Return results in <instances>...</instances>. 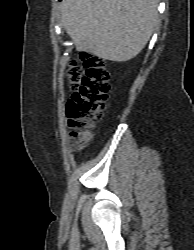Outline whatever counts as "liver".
Returning a JSON list of instances; mask_svg holds the SVG:
<instances>
[{
    "label": "liver",
    "instance_id": "liver-1",
    "mask_svg": "<svg viewBox=\"0 0 194 250\" xmlns=\"http://www.w3.org/2000/svg\"><path fill=\"white\" fill-rule=\"evenodd\" d=\"M159 0H63L62 24L78 51L125 62L147 44Z\"/></svg>",
    "mask_w": 194,
    "mask_h": 250
}]
</instances>
